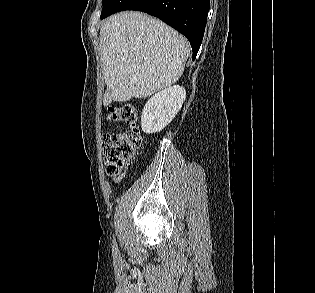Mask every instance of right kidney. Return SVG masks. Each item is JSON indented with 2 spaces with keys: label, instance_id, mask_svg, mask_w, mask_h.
<instances>
[{
  "label": "right kidney",
  "instance_id": "right-kidney-1",
  "mask_svg": "<svg viewBox=\"0 0 315 293\" xmlns=\"http://www.w3.org/2000/svg\"><path fill=\"white\" fill-rule=\"evenodd\" d=\"M186 98L184 87L174 85L152 96L142 111L141 128L146 134L164 129L176 116Z\"/></svg>",
  "mask_w": 315,
  "mask_h": 293
}]
</instances>
